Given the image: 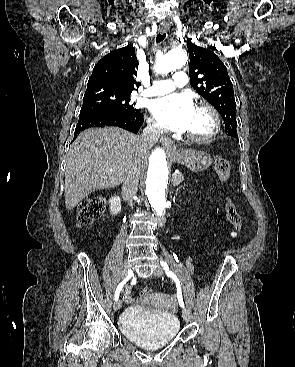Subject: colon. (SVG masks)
Instances as JSON below:
<instances>
[{"instance_id": "1", "label": "colon", "mask_w": 295, "mask_h": 367, "mask_svg": "<svg viewBox=\"0 0 295 367\" xmlns=\"http://www.w3.org/2000/svg\"><path fill=\"white\" fill-rule=\"evenodd\" d=\"M214 170L221 181H226L230 176L231 166L227 159H218L214 163ZM105 208V199L101 196H95L85 200L78 211L77 223L80 226H85L101 216ZM225 212L228 222L234 227L235 233L240 234L242 229V218L237 211L234 203L227 198L225 202ZM143 295L151 294V289L144 288Z\"/></svg>"}]
</instances>
